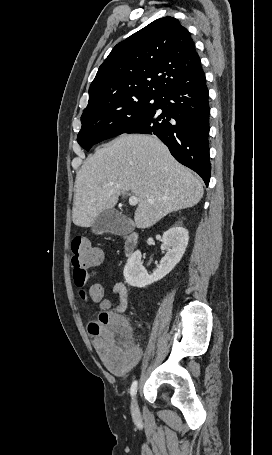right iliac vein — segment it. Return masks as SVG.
<instances>
[{
	"label": "right iliac vein",
	"mask_w": 272,
	"mask_h": 455,
	"mask_svg": "<svg viewBox=\"0 0 272 455\" xmlns=\"http://www.w3.org/2000/svg\"><path fill=\"white\" fill-rule=\"evenodd\" d=\"M131 412H132L133 416H137L139 414V409H138V404H137L136 397L132 401Z\"/></svg>",
	"instance_id": "right-iliac-vein-1"
}]
</instances>
